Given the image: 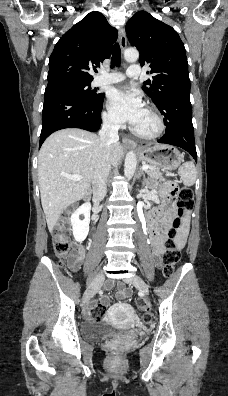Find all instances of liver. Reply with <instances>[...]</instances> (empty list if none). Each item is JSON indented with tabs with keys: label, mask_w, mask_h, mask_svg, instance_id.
Listing matches in <instances>:
<instances>
[{
	"label": "liver",
	"mask_w": 228,
	"mask_h": 396,
	"mask_svg": "<svg viewBox=\"0 0 228 396\" xmlns=\"http://www.w3.org/2000/svg\"><path fill=\"white\" fill-rule=\"evenodd\" d=\"M102 148L96 134L77 128L59 130L43 143L38 156V177L41 203L50 232L61 213L88 193ZM123 155L119 142L110 146V164L118 163ZM65 175H81L83 178L74 181Z\"/></svg>",
	"instance_id": "liver-1"
}]
</instances>
